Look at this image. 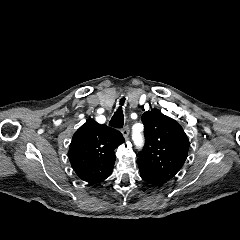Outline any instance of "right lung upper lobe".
I'll list each match as a JSON object with an SVG mask.
<instances>
[{"instance_id":"cb5924a9","label":"right lung upper lobe","mask_w":240,"mask_h":240,"mask_svg":"<svg viewBox=\"0 0 240 240\" xmlns=\"http://www.w3.org/2000/svg\"><path fill=\"white\" fill-rule=\"evenodd\" d=\"M123 142L118 130L89 119L73 135L68 152L72 168L89 184L104 181L115 163L114 149Z\"/></svg>"}]
</instances>
